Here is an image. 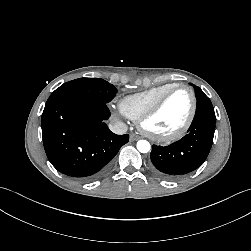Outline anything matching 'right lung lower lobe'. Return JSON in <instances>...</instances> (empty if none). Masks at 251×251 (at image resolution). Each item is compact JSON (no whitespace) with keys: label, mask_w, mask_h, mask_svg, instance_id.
Masks as SVG:
<instances>
[{"label":"right lung lower lobe","mask_w":251,"mask_h":251,"mask_svg":"<svg viewBox=\"0 0 251 251\" xmlns=\"http://www.w3.org/2000/svg\"><path fill=\"white\" fill-rule=\"evenodd\" d=\"M107 103L84 97L47 102L41 127L46 155L61 173L81 181L103 175L129 135L112 133Z\"/></svg>","instance_id":"98d812e1"}]
</instances>
